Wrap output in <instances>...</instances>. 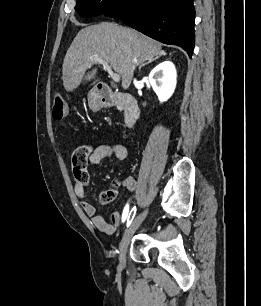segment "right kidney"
Here are the masks:
<instances>
[{
  "label": "right kidney",
  "mask_w": 261,
  "mask_h": 306,
  "mask_svg": "<svg viewBox=\"0 0 261 306\" xmlns=\"http://www.w3.org/2000/svg\"><path fill=\"white\" fill-rule=\"evenodd\" d=\"M176 69L172 62L164 61L149 74V82L157 94L159 101H167L176 87Z\"/></svg>",
  "instance_id": "1"
}]
</instances>
